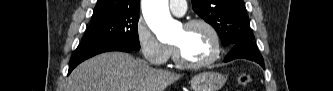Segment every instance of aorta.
I'll return each instance as SVG.
<instances>
[{"mask_svg":"<svg viewBox=\"0 0 333 91\" xmlns=\"http://www.w3.org/2000/svg\"><path fill=\"white\" fill-rule=\"evenodd\" d=\"M142 12L146 23L161 42H169L178 28L171 17L168 0H142Z\"/></svg>","mask_w":333,"mask_h":91,"instance_id":"762f6f07","label":"aorta"}]
</instances>
